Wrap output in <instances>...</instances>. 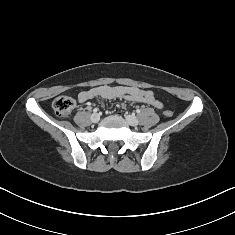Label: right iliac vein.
<instances>
[{"label":"right iliac vein","mask_w":235,"mask_h":235,"mask_svg":"<svg viewBox=\"0 0 235 235\" xmlns=\"http://www.w3.org/2000/svg\"><path fill=\"white\" fill-rule=\"evenodd\" d=\"M99 120H100L99 114L93 113V114L91 115V121H92L93 123H97V122H99Z\"/></svg>","instance_id":"1"}]
</instances>
